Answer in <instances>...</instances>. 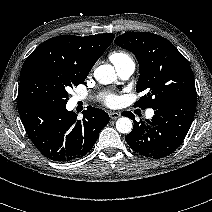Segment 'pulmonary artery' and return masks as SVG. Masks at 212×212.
<instances>
[{
  "label": "pulmonary artery",
  "mask_w": 212,
  "mask_h": 212,
  "mask_svg": "<svg viewBox=\"0 0 212 212\" xmlns=\"http://www.w3.org/2000/svg\"><path fill=\"white\" fill-rule=\"evenodd\" d=\"M116 71L118 73V75L122 78V79H127L133 72L135 69V63L132 59H127L119 64L115 65ZM81 97H75L74 100L75 101H79L81 100ZM146 116L148 118H151L154 116V111L152 109H149L146 112Z\"/></svg>",
  "instance_id": "e3ab8cb5"
}]
</instances>
